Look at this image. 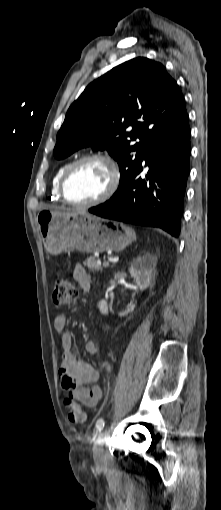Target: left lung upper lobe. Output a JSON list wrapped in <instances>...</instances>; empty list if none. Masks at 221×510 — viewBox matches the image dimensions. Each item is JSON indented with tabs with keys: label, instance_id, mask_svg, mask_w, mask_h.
Instances as JSON below:
<instances>
[{
	"label": "left lung upper lobe",
	"instance_id": "5c2ea615",
	"mask_svg": "<svg viewBox=\"0 0 221 510\" xmlns=\"http://www.w3.org/2000/svg\"><path fill=\"white\" fill-rule=\"evenodd\" d=\"M187 122L176 81L162 64L138 57L86 87L68 109L53 153L63 159L86 146L106 149L120 168L117 195L129 184L150 144ZM130 125L132 130L127 131Z\"/></svg>",
	"mask_w": 221,
	"mask_h": 510
}]
</instances>
